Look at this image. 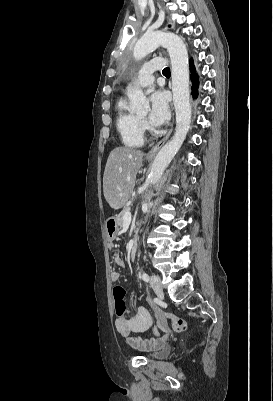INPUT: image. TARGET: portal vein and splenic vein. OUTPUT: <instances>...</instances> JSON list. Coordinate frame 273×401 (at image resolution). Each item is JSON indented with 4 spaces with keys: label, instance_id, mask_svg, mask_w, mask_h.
I'll use <instances>...</instances> for the list:
<instances>
[{
    "label": "portal vein and splenic vein",
    "instance_id": "1",
    "mask_svg": "<svg viewBox=\"0 0 273 401\" xmlns=\"http://www.w3.org/2000/svg\"><path fill=\"white\" fill-rule=\"evenodd\" d=\"M123 219H124L125 223H130V221L132 219L131 213H129V211H127V213H125Z\"/></svg>",
    "mask_w": 273,
    "mask_h": 401
}]
</instances>
